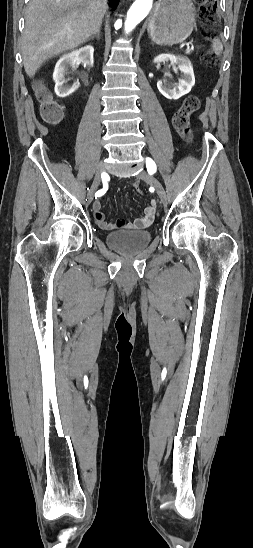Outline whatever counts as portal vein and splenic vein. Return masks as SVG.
I'll return each instance as SVG.
<instances>
[{
	"instance_id": "1",
	"label": "portal vein and splenic vein",
	"mask_w": 253,
	"mask_h": 548,
	"mask_svg": "<svg viewBox=\"0 0 253 548\" xmlns=\"http://www.w3.org/2000/svg\"><path fill=\"white\" fill-rule=\"evenodd\" d=\"M193 49H194V47H193V46H189V45H187V47H186V53H189V52H190V50H193Z\"/></svg>"
}]
</instances>
